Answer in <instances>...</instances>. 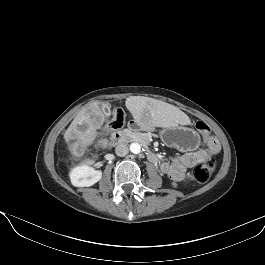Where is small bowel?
Instances as JSON below:
<instances>
[{"label": "small bowel", "instance_id": "small-bowel-1", "mask_svg": "<svg viewBox=\"0 0 265 265\" xmlns=\"http://www.w3.org/2000/svg\"><path fill=\"white\" fill-rule=\"evenodd\" d=\"M207 148L181 154L170 162H163L160 165L162 174L168 176L173 181L180 182L185 178L186 171L196 164L204 161L209 156L218 154L221 150L217 139L210 136L205 140Z\"/></svg>", "mask_w": 265, "mask_h": 265}]
</instances>
